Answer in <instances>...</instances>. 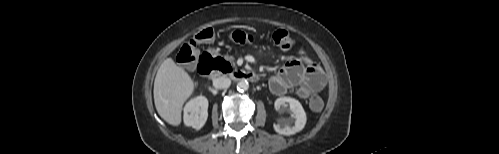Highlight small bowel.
I'll use <instances>...</instances> for the list:
<instances>
[{
    "label": "small bowel",
    "instance_id": "obj_1",
    "mask_svg": "<svg viewBox=\"0 0 499 154\" xmlns=\"http://www.w3.org/2000/svg\"><path fill=\"white\" fill-rule=\"evenodd\" d=\"M231 38L237 43H247L253 37L243 31L236 30ZM301 58L292 59L269 80V87L275 95H283L293 88H297V95L302 99H308L320 92L325 85V76L322 69L313 63L300 51Z\"/></svg>",
    "mask_w": 499,
    "mask_h": 154
}]
</instances>
